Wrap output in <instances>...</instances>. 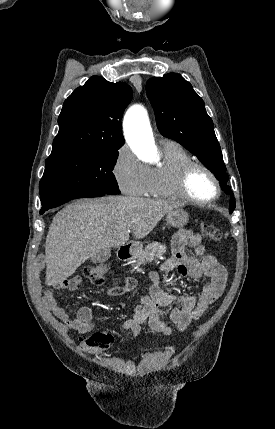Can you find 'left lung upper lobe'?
Here are the masks:
<instances>
[{
  "label": "left lung upper lobe",
  "instance_id": "1",
  "mask_svg": "<svg viewBox=\"0 0 275 429\" xmlns=\"http://www.w3.org/2000/svg\"><path fill=\"white\" fill-rule=\"evenodd\" d=\"M146 90L155 110L160 133L196 155L220 181L222 190L231 195L232 191L226 185L229 176L213 121L192 85L180 74L168 73L163 77L149 79ZM235 205L234 198H231L230 212H233Z\"/></svg>",
  "mask_w": 275,
  "mask_h": 429
}]
</instances>
